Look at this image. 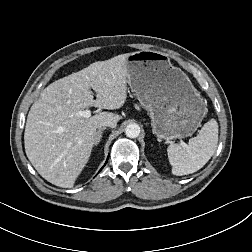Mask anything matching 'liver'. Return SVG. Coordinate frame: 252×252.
Wrapping results in <instances>:
<instances>
[{
  "mask_svg": "<svg viewBox=\"0 0 252 252\" xmlns=\"http://www.w3.org/2000/svg\"><path fill=\"white\" fill-rule=\"evenodd\" d=\"M126 59L127 54H121L61 78L48 85L31 106L24 133L25 152L48 182L72 188L91 156L98 124L120 120L111 112L89 118L75 113L92 106L116 110L125 104Z\"/></svg>",
  "mask_w": 252,
  "mask_h": 252,
  "instance_id": "1",
  "label": "liver"
}]
</instances>
